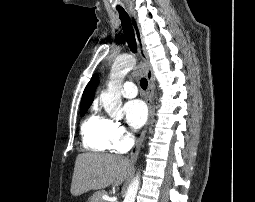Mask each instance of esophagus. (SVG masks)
I'll return each mask as SVG.
<instances>
[{
    "mask_svg": "<svg viewBox=\"0 0 255 202\" xmlns=\"http://www.w3.org/2000/svg\"><path fill=\"white\" fill-rule=\"evenodd\" d=\"M130 20H131V24H132L134 34H135L138 53L141 58V65H142V68L145 72V75H146V78L148 81L147 99H146L147 104H148V120H147V123H146L144 129L142 130V132L140 134V137L138 138L134 148L132 149V151L130 153V161L134 162L139 155L142 142L144 140L148 125L150 123V118H151V113H152V98H153V72H152L150 62H149V56H148V53L146 50L144 38H143V35L141 32L139 23H138L136 17L132 13H130Z\"/></svg>",
    "mask_w": 255,
    "mask_h": 202,
    "instance_id": "obj_1",
    "label": "esophagus"
}]
</instances>
